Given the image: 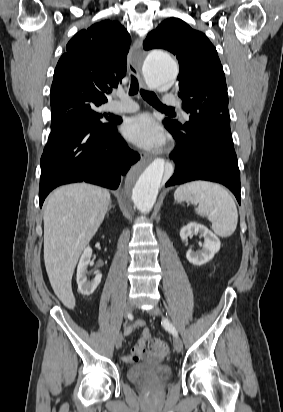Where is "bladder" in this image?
I'll return each instance as SVG.
<instances>
[{"label":"bladder","mask_w":283,"mask_h":412,"mask_svg":"<svg viewBox=\"0 0 283 412\" xmlns=\"http://www.w3.org/2000/svg\"><path fill=\"white\" fill-rule=\"evenodd\" d=\"M127 378L134 384H141L146 377H153L159 382H166L173 376L171 367L165 363H140L126 371Z\"/></svg>","instance_id":"obj_1"}]
</instances>
